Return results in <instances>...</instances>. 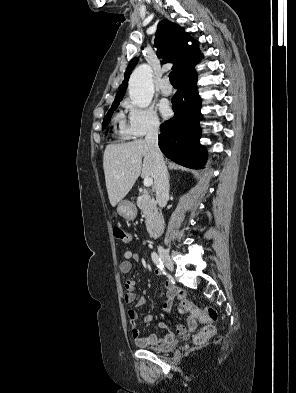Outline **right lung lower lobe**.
I'll list each match as a JSON object with an SVG mask.
<instances>
[{
    "label": "right lung lower lobe",
    "mask_w": 296,
    "mask_h": 393,
    "mask_svg": "<svg viewBox=\"0 0 296 393\" xmlns=\"http://www.w3.org/2000/svg\"><path fill=\"white\" fill-rule=\"evenodd\" d=\"M198 59L181 71L179 89L172 98L174 117L160 127L159 147L164 155L183 166L200 169L206 162V152L200 145L201 102L197 90Z\"/></svg>",
    "instance_id": "obj_1"
}]
</instances>
